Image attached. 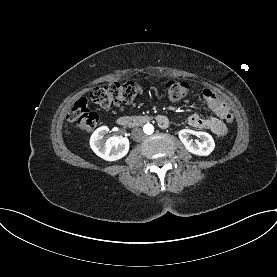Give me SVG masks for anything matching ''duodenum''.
<instances>
[{"label": "duodenum", "instance_id": "duodenum-1", "mask_svg": "<svg viewBox=\"0 0 277 277\" xmlns=\"http://www.w3.org/2000/svg\"><path fill=\"white\" fill-rule=\"evenodd\" d=\"M151 120L149 116H122L117 119V124L125 128H134L141 126ZM166 127V125H163Z\"/></svg>", "mask_w": 277, "mask_h": 277}]
</instances>
